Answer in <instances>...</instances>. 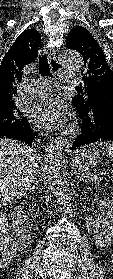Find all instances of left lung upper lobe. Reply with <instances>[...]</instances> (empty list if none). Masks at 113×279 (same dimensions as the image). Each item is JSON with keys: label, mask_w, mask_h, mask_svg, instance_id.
<instances>
[{"label": "left lung upper lobe", "mask_w": 113, "mask_h": 279, "mask_svg": "<svg viewBox=\"0 0 113 279\" xmlns=\"http://www.w3.org/2000/svg\"><path fill=\"white\" fill-rule=\"evenodd\" d=\"M66 45L83 55L86 68L85 76L82 78L85 91L79 87L77 89L79 94L74 100L88 101V106L95 105L96 101L112 102L113 73L106 62L102 48L91 33L84 27H75L69 32Z\"/></svg>", "instance_id": "5c2ea615"}]
</instances>
